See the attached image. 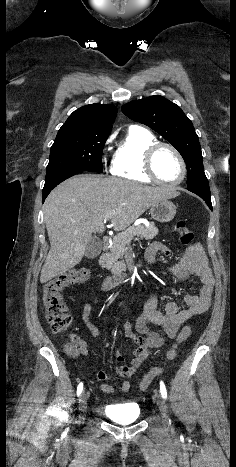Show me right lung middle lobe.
I'll return each mask as SVG.
<instances>
[{"mask_svg":"<svg viewBox=\"0 0 236 467\" xmlns=\"http://www.w3.org/2000/svg\"><path fill=\"white\" fill-rule=\"evenodd\" d=\"M109 134L59 130L50 150L46 178L73 170L102 173V153Z\"/></svg>","mask_w":236,"mask_h":467,"instance_id":"obj_1","label":"right lung middle lobe"}]
</instances>
